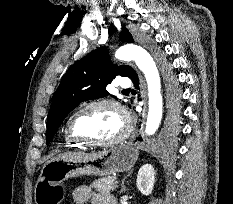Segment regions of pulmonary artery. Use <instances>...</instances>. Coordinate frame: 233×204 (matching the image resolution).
<instances>
[{
  "mask_svg": "<svg viewBox=\"0 0 233 204\" xmlns=\"http://www.w3.org/2000/svg\"><path fill=\"white\" fill-rule=\"evenodd\" d=\"M118 85L123 88V89H126V88H130L131 85H132V81L130 78L128 77H122L119 82H118Z\"/></svg>",
  "mask_w": 233,
  "mask_h": 204,
  "instance_id": "obj_1",
  "label": "pulmonary artery"
}]
</instances>
